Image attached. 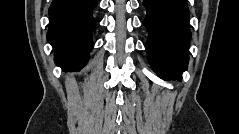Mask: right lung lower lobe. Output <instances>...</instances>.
<instances>
[{
  "mask_svg": "<svg viewBox=\"0 0 239 134\" xmlns=\"http://www.w3.org/2000/svg\"><path fill=\"white\" fill-rule=\"evenodd\" d=\"M96 0H53L49 8L47 39L55 51V62L65 71H79L93 48L92 16Z\"/></svg>",
  "mask_w": 239,
  "mask_h": 134,
  "instance_id": "98d812e1",
  "label": "right lung lower lobe"
}]
</instances>
